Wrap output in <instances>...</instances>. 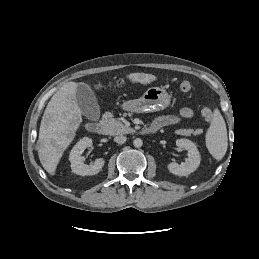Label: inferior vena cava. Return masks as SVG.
I'll list each match as a JSON object with an SVG mask.
<instances>
[{
    "label": "inferior vena cava",
    "mask_w": 259,
    "mask_h": 259,
    "mask_svg": "<svg viewBox=\"0 0 259 259\" xmlns=\"http://www.w3.org/2000/svg\"><path fill=\"white\" fill-rule=\"evenodd\" d=\"M126 140H127V138H126L125 136H123V135H119V136H116V137L114 138V141H115L116 143H118V144H123V143L126 142Z\"/></svg>",
    "instance_id": "obj_1"
}]
</instances>
